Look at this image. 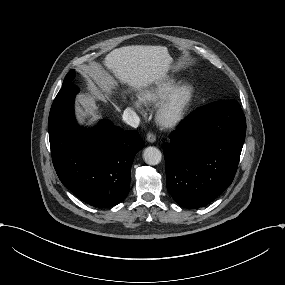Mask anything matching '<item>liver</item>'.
I'll return each mask as SVG.
<instances>
[{"instance_id": "obj_1", "label": "liver", "mask_w": 285, "mask_h": 285, "mask_svg": "<svg viewBox=\"0 0 285 285\" xmlns=\"http://www.w3.org/2000/svg\"><path fill=\"white\" fill-rule=\"evenodd\" d=\"M172 62L173 59L169 55L167 47L145 45H131L114 49L103 60L104 66L116 78L137 90L153 83L158 86L164 85ZM104 73L103 66L96 62L82 66V74L87 78L91 94L78 97L80 106L77 107V112L80 123L83 122V118L89 116L92 117L89 124L98 119L95 97L101 98V95L89 77L100 87H105L109 82L103 76Z\"/></svg>"}]
</instances>
